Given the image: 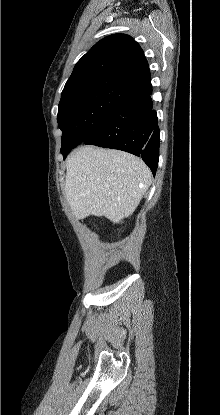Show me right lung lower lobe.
<instances>
[{
	"mask_svg": "<svg viewBox=\"0 0 220 415\" xmlns=\"http://www.w3.org/2000/svg\"><path fill=\"white\" fill-rule=\"evenodd\" d=\"M151 94L152 85L149 81L116 106L84 143L141 156L155 175L159 160L160 131ZM71 149L73 148L61 149L64 159Z\"/></svg>",
	"mask_w": 220,
	"mask_h": 415,
	"instance_id": "obj_1",
	"label": "right lung lower lobe"
}]
</instances>
